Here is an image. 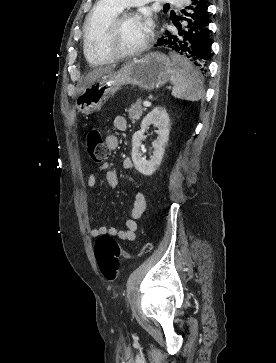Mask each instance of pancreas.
Masks as SVG:
<instances>
[{"label":"pancreas","mask_w":276,"mask_h":363,"mask_svg":"<svg viewBox=\"0 0 276 363\" xmlns=\"http://www.w3.org/2000/svg\"><path fill=\"white\" fill-rule=\"evenodd\" d=\"M142 101L139 99L131 105L129 109H125L129 114V119L134 123L139 120L146 108L141 106Z\"/></svg>","instance_id":"pancreas-1"}]
</instances>
